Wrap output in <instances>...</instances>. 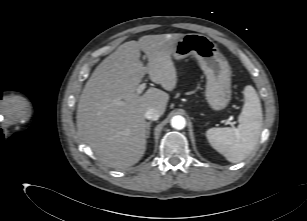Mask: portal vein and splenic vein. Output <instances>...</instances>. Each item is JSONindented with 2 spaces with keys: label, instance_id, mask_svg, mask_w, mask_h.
I'll return each instance as SVG.
<instances>
[{
  "label": "portal vein and splenic vein",
  "instance_id": "1",
  "mask_svg": "<svg viewBox=\"0 0 307 221\" xmlns=\"http://www.w3.org/2000/svg\"><path fill=\"white\" fill-rule=\"evenodd\" d=\"M145 88H146V83L140 84L137 88V94L140 95L144 91ZM228 122L230 123V120H228Z\"/></svg>",
  "mask_w": 307,
  "mask_h": 221
}]
</instances>
